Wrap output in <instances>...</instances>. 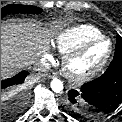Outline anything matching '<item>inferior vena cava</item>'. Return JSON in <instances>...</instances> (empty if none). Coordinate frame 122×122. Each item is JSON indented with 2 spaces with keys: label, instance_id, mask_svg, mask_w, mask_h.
Segmentation results:
<instances>
[{
  "label": "inferior vena cava",
  "instance_id": "inferior-vena-cava-1",
  "mask_svg": "<svg viewBox=\"0 0 122 122\" xmlns=\"http://www.w3.org/2000/svg\"><path fill=\"white\" fill-rule=\"evenodd\" d=\"M50 64L47 61H38L34 65V70L40 73L46 72L50 69Z\"/></svg>",
  "mask_w": 122,
  "mask_h": 122
}]
</instances>
